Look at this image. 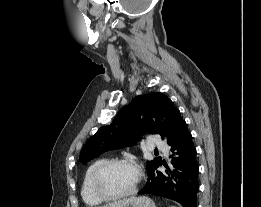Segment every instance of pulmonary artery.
Segmentation results:
<instances>
[{
    "label": "pulmonary artery",
    "instance_id": "e3ab8cb5",
    "mask_svg": "<svg viewBox=\"0 0 261 207\" xmlns=\"http://www.w3.org/2000/svg\"><path fill=\"white\" fill-rule=\"evenodd\" d=\"M152 148H157L159 150H166V144L160 140L157 136H153L152 138Z\"/></svg>",
    "mask_w": 261,
    "mask_h": 207
}]
</instances>
